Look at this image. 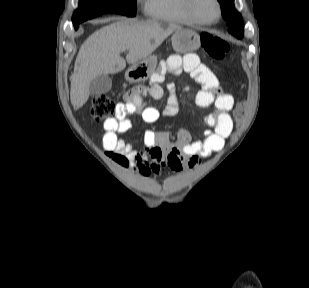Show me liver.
Listing matches in <instances>:
<instances>
[{
    "instance_id": "1",
    "label": "liver",
    "mask_w": 309,
    "mask_h": 288,
    "mask_svg": "<svg viewBox=\"0 0 309 288\" xmlns=\"http://www.w3.org/2000/svg\"><path fill=\"white\" fill-rule=\"evenodd\" d=\"M180 28L172 23L122 19L91 34L82 44L75 61L70 92L74 110L87 102L94 78L118 73L125 69L126 62L135 64L149 57ZM124 48L129 50L126 59L120 56Z\"/></svg>"
}]
</instances>
